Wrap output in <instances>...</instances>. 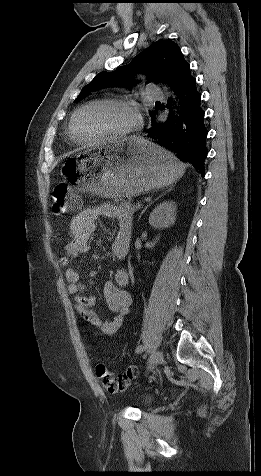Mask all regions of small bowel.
Masks as SVG:
<instances>
[{
	"label": "small bowel",
	"instance_id": "1",
	"mask_svg": "<svg viewBox=\"0 0 261 476\" xmlns=\"http://www.w3.org/2000/svg\"><path fill=\"white\" fill-rule=\"evenodd\" d=\"M112 218L117 223V232L112 244V253L116 259L124 258L130 248L132 220L128 212L111 204H102L82 210L72 219L70 238L65 245V255L59 263L65 268L67 290L72 299L74 308L83 319L95 326L103 334H114L121 327L125 316L129 312L132 297L124 288L129 283V274L125 269H118L115 281L104 286V298L114 313V316L105 321L92 309L95 298L87 294L81 282L82 274L72 267L74 260L81 254L89 251V241L97 230L96 221L99 218Z\"/></svg>",
	"mask_w": 261,
	"mask_h": 476
}]
</instances>
